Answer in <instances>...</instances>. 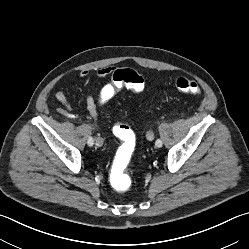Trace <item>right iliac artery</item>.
<instances>
[{
    "label": "right iliac artery",
    "mask_w": 249,
    "mask_h": 249,
    "mask_svg": "<svg viewBox=\"0 0 249 249\" xmlns=\"http://www.w3.org/2000/svg\"><path fill=\"white\" fill-rule=\"evenodd\" d=\"M87 143H88L89 146H92V145L94 144V139H93V137H89Z\"/></svg>",
    "instance_id": "obj_1"
}]
</instances>
